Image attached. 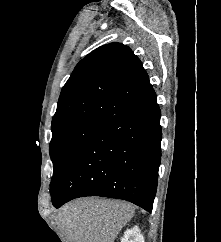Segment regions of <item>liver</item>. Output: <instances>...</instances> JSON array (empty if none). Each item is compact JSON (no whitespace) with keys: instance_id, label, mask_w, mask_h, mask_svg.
Here are the masks:
<instances>
[{"instance_id":"1","label":"liver","mask_w":221,"mask_h":242,"mask_svg":"<svg viewBox=\"0 0 221 242\" xmlns=\"http://www.w3.org/2000/svg\"><path fill=\"white\" fill-rule=\"evenodd\" d=\"M133 215L127 202L86 198L64 205L57 223L67 242H114Z\"/></svg>"}]
</instances>
